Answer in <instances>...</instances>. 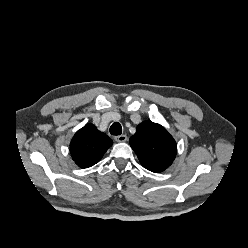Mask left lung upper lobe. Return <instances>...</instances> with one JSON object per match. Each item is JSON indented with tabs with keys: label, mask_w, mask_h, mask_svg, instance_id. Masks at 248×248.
<instances>
[{
	"label": "left lung upper lobe",
	"mask_w": 248,
	"mask_h": 248,
	"mask_svg": "<svg viewBox=\"0 0 248 248\" xmlns=\"http://www.w3.org/2000/svg\"><path fill=\"white\" fill-rule=\"evenodd\" d=\"M130 145L143 167L152 172H162L175 159L177 145L167 130L152 121L138 125L130 138Z\"/></svg>",
	"instance_id": "obj_1"
}]
</instances>
